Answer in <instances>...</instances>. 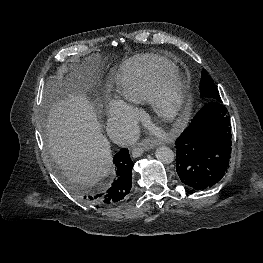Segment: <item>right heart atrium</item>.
<instances>
[{
    "label": "right heart atrium",
    "instance_id": "right-heart-atrium-1",
    "mask_svg": "<svg viewBox=\"0 0 263 263\" xmlns=\"http://www.w3.org/2000/svg\"><path fill=\"white\" fill-rule=\"evenodd\" d=\"M108 115L112 123L123 126L130 131L136 127L138 114L121 102L112 101L108 106Z\"/></svg>",
    "mask_w": 263,
    "mask_h": 263
}]
</instances>
